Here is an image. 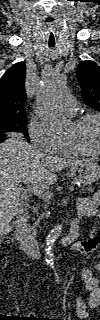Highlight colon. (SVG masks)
I'll return each instance as SVG.
<instances>
[{"mask_svg":"<svg viewBox=\"0 0 100 320\" xmlns=\"http://www.w3.org/2000/svg\"><path fill=\"white\" fill-rule=\"evenodd\" d=\"M99 243H100V235L98 233H93L91 237L88 240H86L85 248L92 251L95 248H97ZM10 244H11V239L9 237H4L1 241V245L5 250L10 246ZM5 263H6V258L2 257L0 259V264L4 265ZM57 320H61V319H57Z\"/></svg>","mask_w":100,"mask_h":320,"instance_id":"5ec220e1","label":"colon"}]
</instances>
